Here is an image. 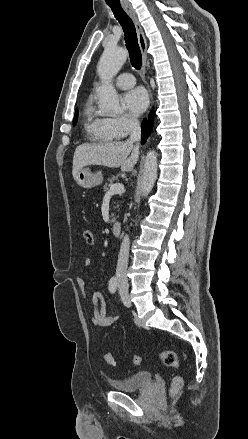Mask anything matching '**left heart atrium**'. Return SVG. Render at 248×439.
<instances>
[{
    "label": "left heart atrium",
    "mask_w": 248,
    "mask_h": 439,
    "mask_svg": "<svg viewBox=\"0 0 248 439\" xmlns=\"http://www.w3.org/2000/svg\"><path fill=\"white\" fill-rule=\"evenodd\" d=\"M123 102L131 113L140 115L146 110L149 98L143 88H135L125 93Z\"/></svg>",
    "instance_id": "left-heart-atrium-1"
}]
</instances>
